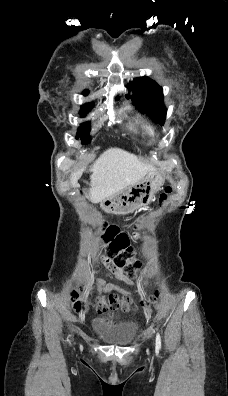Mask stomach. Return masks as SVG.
<instances>
[{
	"instance_id": "stomach-1",
	"label": "stomach",
	"mask_w": 228,
	"mask_h": 396,
	"mask_svg": "<svg viewBox=\"0 0 228 396\" xmlns=\"http://www.w3.org/2000/svg\"><path fill=\"white\" fill-rule=\"evenodd\" d=\"M163 183L164 177L161 174L149 173L138 183L103 199L100 206L109 214L131 213L148 206Z\"/></svg>"
}]
</instances>
